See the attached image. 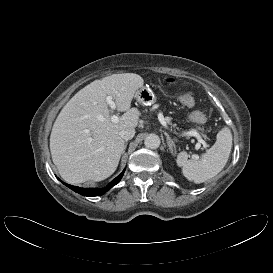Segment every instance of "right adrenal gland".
I'll list each match as a JSON object with an SVG mask.
<instances>
[{"label": "right adrenal gland", "instance_id": "right-adrenal-gland-1", "mask_svg": "<svg viewBox=\"0 0 273 273\" xmlns=\"http://www.w3.org/2000/svg\"><path fill=\"white\" fill-rule=\"evenodd\" d=\"M126 146H127V142H126V143H125V145H124V151H123V154H124V152H125Z\"/></svg>", "mask_w": 273, "mask_h": 273}]
</instances>
